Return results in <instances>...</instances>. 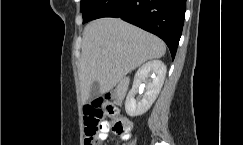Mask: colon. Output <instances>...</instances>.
I'll list each match as a JSON object with an SVG mask.
<instances>
[{
    "mask_svg": "<svg viewBox=\"0 0 243 145\" xmlns=\"http://www.w3.org/2000/svg\"><path fill=\"white\" fill-rule=\"evenodd\" d=\"M116 108L104 99H96L83 109L84 145H99L98 133L102 127V119L105 116H115ZM129 129V122L125 118H118L112 123V130L116 134H122Z\"/></svg>",
    "mask_w": 243,
    "mask_h": 145,
    "instance_id": "1",
    "label": "colon"
}]
</instances>
